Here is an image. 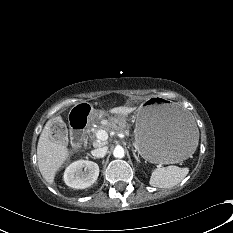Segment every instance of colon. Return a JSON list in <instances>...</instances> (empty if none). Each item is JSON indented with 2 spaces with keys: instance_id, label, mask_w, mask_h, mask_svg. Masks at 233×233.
Masks as SVG:
<instances>
[{
  "instance_id": "5ec220e1",
  "label": "colon",
  "mask_w": 233,
  "mask_h": 233,
  "mask_svg": "<svg viewBox=\"0 0 233 233\" xmlns=\"http://www.w3.org/2000/svg\"><path fill=\"white\" fill-rule=\"evenodd\" d=\"M53 133L56 137L63 139L66 136L65 127L60 122H55L53 124Z\"/></svg>"
}]
</instances>
